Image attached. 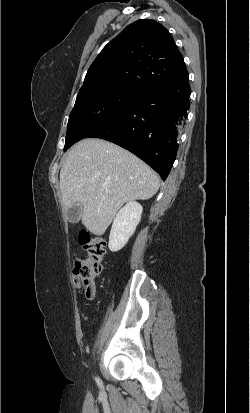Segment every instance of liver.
Instances as JSON below:
<instances>
[{
    "label": "liver",
    "instance_id": "obj_1",
    "mask_svg": "<svg viewBox=\"0 0 250 413\" xmlns=\"http://www.w3.org/2000/svg\"><path fill=\"white\" fill-rule=\"evenodd\" d=\"M59 186L64 211L80 206L82 224L100 236L125 202L150 199L160 182L129 151L102 139H85L66 155Z\"/></svg>",
    "mask_w": 250,
    "mask_h": 413
}]
</instances>
